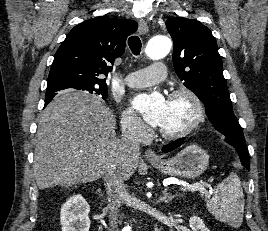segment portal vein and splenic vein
Instances as JSON below:
<instances>
[{
	"mask_svg": "<svg viewBox=\"0 0 268 231\" xmlns=\"http://www.w3.org/2000/svg\"><path fill=\"white\" fill-rule=\"evenodd\" d=\"M182 191H195V190H198L200 192H205V194H208V192L206 191L205 187H204V184H200V183H197V184H193V185H187L183 188H181Z\"/></svg>",
	"mask_w": 268,
	"mask_h": 231,
	"instance_id": "obj_1",
	"label": "portal vein and splenic vein"
}]
</instances>
